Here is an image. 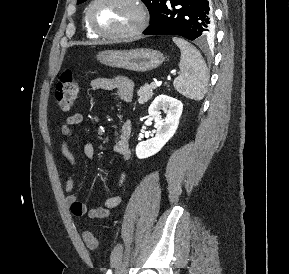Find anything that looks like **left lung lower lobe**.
<instances>
[{
  "instance_id": "0a47b994",
  "label": "left lung lower lobe",
  "mask_w": 289,
  "mask_h": 274,
  "mask_svg": "<svg viewBox=\"0 0 289 274\" xmlns=\"http://www.w3.org/2000/svg\"><path fill=\"white\" fill-rule=\"evenodd\" d=\"M179 6V7H178ZM146 35H179L205 42L214 35L209 0H166Z\"/></svg>"
}]
</instances>
